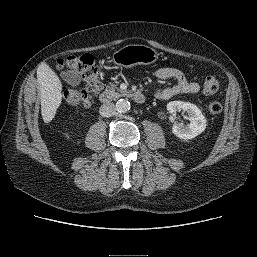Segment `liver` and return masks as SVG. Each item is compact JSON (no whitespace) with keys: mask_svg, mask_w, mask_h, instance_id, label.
Segmentation results:
<instances>
[{"mask_svg":"<svg viewBox=\"0 0 257 257\" xmlns=\"http://www.w3.org/2000/svg\"><path fill=\"white\" fill-rule=\"evenodd\" d=\"M37 79L40 87L42 118L45 123H49L61 104L63 86L56 73L45 63L39 66Z\"/></svg>","mask_w":257,"mask_h":257,"instance_id":"liver-1","label":"liver"}]
</instances>
